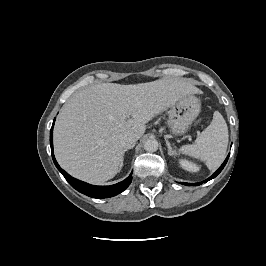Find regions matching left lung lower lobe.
I'll list each match as a JSON object with an SVG mask.
<instances>
[{
  "instance_id": "1",
  "label": "left lung lower lobe",
  "mask_w": 266,
  "mask_h": 266,
  "mask_svg": "<svg viewBox=\"0 0 266 266\" xmlns=\"http://www.w3.org/2000/svg\"><path fill=\"white\" fill-rule=\"evenodd\" d=\"M228 158H229V155L227 156V158L225 159V161L223 162V164L219 167V169L215 173H213V175L210 176L205 181H202V182H199V183H181V184H184V185H187V186H197V185H200L202 183H206L207 181L215 178L222 171V169L224 168V166L226 165V163L228 161Z\"/></svg>"
}]
</instances>
